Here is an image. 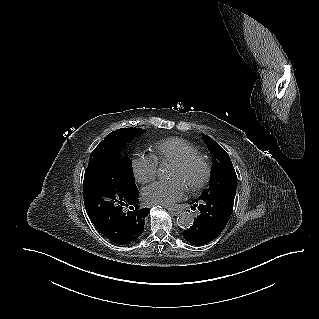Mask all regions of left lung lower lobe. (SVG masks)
I'll list each match as a JSON object with an SVG mask.
<instances>
[{"mask_svg":"<svg viewBox=\"0 0 319 319\" xmlns=\"http://www.w3.org/2000/svg\"><path fill=\"white\" fill-rule=\"evenodd\" d=\"M236 190L224 191L192 202L200 211L192 227L183 232L184 239L193 245H204L224 230L233 211Z\"/></svg>","mask_w":319,"mask_h":319,"instance_id":"left-lung-lower-lobe-1","label":"left lung lower lobe"}]
</instances>
